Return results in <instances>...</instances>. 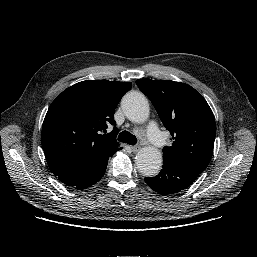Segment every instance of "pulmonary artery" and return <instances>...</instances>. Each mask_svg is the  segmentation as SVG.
Instances as JSON below:
<instances>
[{
    "label": "pulmonary artery",
    "instance_id": "e3ab8cb5",
    "mask_svg": "<svg viewBox=\"0 0 257 257\" xmlns=\"http://www.w3.org/2000/svg\"><path fill=\"white\" fill-rule=\"evenodd\" d=\"M146 135L149 142L157 148H162L166 145L164 133L158 128L155 123H151L146 130Z\"/></svg>",
    "mask_w": 257,
    "mask_h": 257
}]
</instances>
